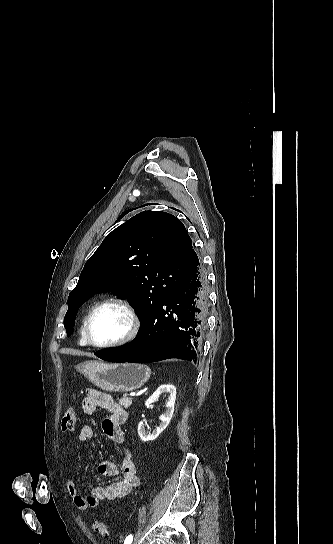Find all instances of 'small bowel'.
Segmentation results:
<instances>
[{
  "instance_id": "obj_1",
  "label": "small bowel",
  "mask_w": 333,
  "mask_h": 544,
  "mask_svg": "<svg viewBox=\"0 0 333 544\" xmlns=\"http://www.w3.org/2000/svg\"><path fill=\"white\" fill-rule=\"evenodd\" d=\"M98 408L109 413L102 422V430L107 438L121 447V463L118 467L110 461L100 462L98 472L107 479L90 488L86 496L80 494L74 480L68 481V493L76 508L81 511L96 507L100 501L123 497L139 485L134 455L132 450L124 445L125 439L121 428L127 420V412L109 394L95 389H87L82 402L83 413L91 415ZM92 437L91 427L81 428L78 436L81 442L88 441Z\"/></svg>"
}]
</instances>
